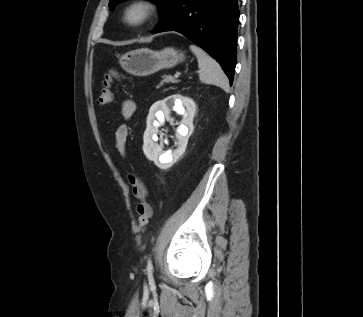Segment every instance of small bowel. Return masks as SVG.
I'll return each mask as SVG.
<instances>
[{"label": "small bowel", "instance_id": "small-bowel-1", "mask_svg": "<svg viewBox=\"0 0 363 317\" xmlns=\"http://www.w3.org/2000/svg\"><path fill=\"white\" fill-rule=\"evenodd\" d=\"M136 108L135 103L132 100H126L122 104V115L124 118H129L134 113ZM128 138V128L126 125H120L115 131V143L118 152L125 156L126 154V142Z\"/></svg>", "mask_w": 363, "mask_h": 317}]
</instances>
